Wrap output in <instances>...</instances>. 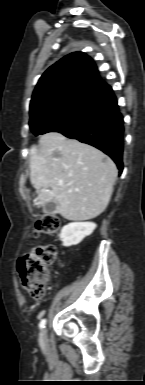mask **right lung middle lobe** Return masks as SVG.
Here are the masks:
<instances>
[{"label": "right lung middle lobe", "mask_w": 145, "mask_h": 385, "mask_svg": "<svg viewBox=\"0 0 145 385\" xmlns=\"http://www.w3.org/2000/svg\"><path fill=\"white\" fill-rule=\"evenodd\" d=\"M99 92L77 89L64 92L30 111V129L34 135L55 132L84 111Z\"/></svg>", "instance_id": "obj_1"}]
</instances>
